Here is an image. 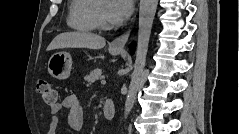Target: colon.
Segmentation results:
<instances>
[{
    "label": "colon",
    "mask_w": 239,
    "mask_h": 134,
    "mask_svg": "<svg viewBox=\"0 0 239 134\" xmlns=\"http://www.w3.org/2000/svg\"><path fill=\"white\" fill-rule=\"evenodd\" d=\"M37 90L46 104L51 106L56 104L57 94L47 80H39L37 84Z\"/></svg>",
    "instance_id": "obj_1"
}]
</instances>
